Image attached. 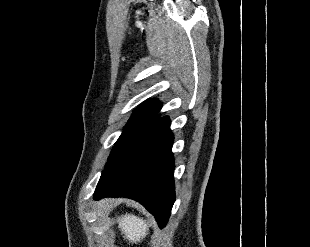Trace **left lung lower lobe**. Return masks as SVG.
Returning <instances> with one entry per match:
<instances>
[{
	"label": "left lung lower lobe",
	"mask_w": 310,
	"mask_h": 247,
	"mask_svg": "<svg viewBox=\"0 0 310 247\" xmlns=\"http://www.w3.org/2000/svg\"><path fill=\"white\" fill-rule=\"evenodd\" d=\"M169 127V118L163 117L130 141L103 171L94 199H134L164 228L175 201L173 134Z\"/></svg>",
	"instance_id": "1"
}]
</instances>
